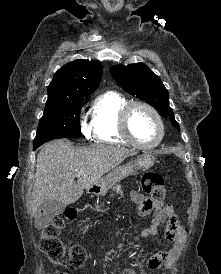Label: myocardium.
<instances>
[{
    "mask_svg": "<svg viewBox=\"0 0 221 274\" xmlns=\"http://www.w3.org/2000/svg\"><path fill=\"white\" fill-rule=\"evenodd\" d=\"M136 107H142V108L147 109L155 117V119L158 123L159 136H158L157 140L152 144H143V143L137 141L131 132L130 115ZM120 130H121L122 135L130 142V144L134 145L137 148L145 149V150H149V149H153V148L157 147L163 140L164 134H165V127H164V123H163L160 113L157 111V109L155 107H153L151 104L144 102V101H130L122 109L121 114H120Z\"/></svg>",
    "mask_w": 221,
    "mask_h": 274,
    "instance_id": "myocardium-1",
    "label": "myocardium"
}]
</instances>
